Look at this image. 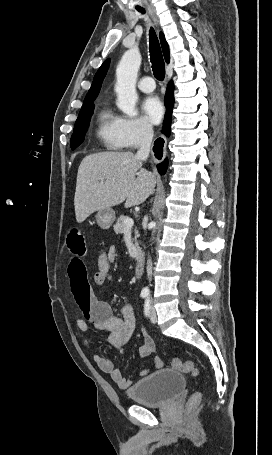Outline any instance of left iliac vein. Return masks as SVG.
I'll return each instance as SVG.
<instances>
[{"mask_svg":"<svg viewBox=\"0 0 272 455\" xmlns=\"http://www.w3.org/2000/svg\"><path fill=\"white\" fill-rule=\"evenodd\" d=\"M149 317H150V320L152 323H156L157 315H156V310L153 306L150 307Z\"/></svg>","mask_w":272,"mask_h":455,"instance_id":"left-iliac-vein-1","label":"left iliac vein"}]
</instances>
